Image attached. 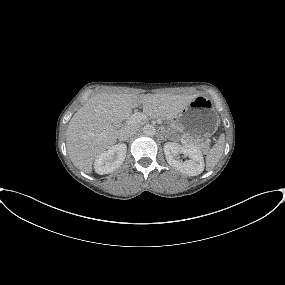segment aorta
Segmentation results:
<instances>
[{"mask_svg": "<svg viewBox=\"0 0 285 285\" xmlns=\"http://www.w3.org/2000/svg\"><path fill=\"white\" fill-rule=\"evenodd\" d=\"M143 133L146 135V136H154L155 133H156V130H155V127L153 125H145L143 127Z\"/></svg>", "mask_w": 285, "mask_h": 285, "instance_id": "1", "label": "aorta"}]
</instances>
